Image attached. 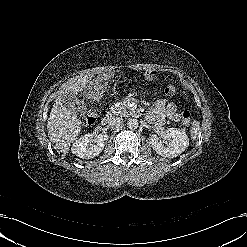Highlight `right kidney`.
<instances>
[{"label":"right kidney","instance_id":"ca27d5eb","mask_svg":"<svg viewBox=\"0 0 247 247\" xmlns=\"http://www.w3.org/2000/svg\"><path fill=\"white\" fill-rule=\"evenodd\" d=\"M108 138L107 134H85L73 142L71 151L79 158L92 159L102 152Z\"/></svg>","mask_w":247,"mask_h":247}]
</instances>
